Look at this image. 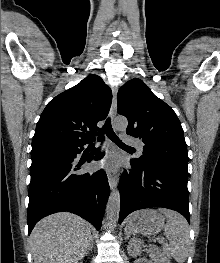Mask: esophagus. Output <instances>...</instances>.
Here are the masks:
<instances>
[{"mask_svg": "<svg viewBox=\"0 0 220 263\" xmlns=\"http://www.w3.org/2000/svg\"><path fill=\"white\" fill-rule=\"evenodd\" d=\"M113 92V98H112V104H111V111H110V115H111V119L114 120L116 114H117V92H118V88L114 87L112 89ZM108 182H109V186L112 190H114L117 187L118 181L115 175H113L112 173H108Z\"/></svg>", "mask_w": 220, "mask_h": 263, "instance_id": "34e87169", "label": "esophagus"}]
</instances>
